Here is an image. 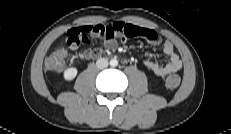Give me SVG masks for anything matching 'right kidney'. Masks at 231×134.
Masks as SVG:
<instances>
[{
    "mask_svg": "<svg viewBox=\"0 0 231 134\" xmlns=\"http://www.w3.org/2000/svg\"><path fill=\"white\" fill-rule=\"evenodd\" d=\"M77 75V69L74 67L67 68L64 71V78L68 81L73 80Z\"/></svg>",
    "mask_w": 231,
    "mask_h": 134,
    "instance_id": "1",
    "label": "right kidney"
}]
</instances>
